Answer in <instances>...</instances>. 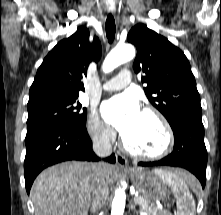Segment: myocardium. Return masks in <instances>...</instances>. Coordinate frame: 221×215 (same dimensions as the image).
<instances>
[{"instance_id":"f54148a6","label":"myocardium","mask_w":221,"mask_h":215,"mask_svg":"<svg viewBox=\"0 0 221 215\" xmlns=\"http://www.w3.org/2000/svg\"><path fill=\"white\" fill-rule=\"evenodd\" d=\"M142 113L151 115L160 124L165 139L163 147L159 151L153 153L138 152L130 148L122 137L121 144L123 149L132 157L145 160H157L167 156L174 147V134L169 121L158 109L154 107H145L143 108Z\"/></svg>"}]
</instances>
